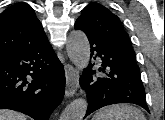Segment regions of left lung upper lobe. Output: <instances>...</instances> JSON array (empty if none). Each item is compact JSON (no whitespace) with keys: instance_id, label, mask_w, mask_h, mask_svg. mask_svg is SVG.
I'll return each instance as SVG.
<instances>
[{"instance_id":"5c2ea615","label":"left lung upper lobe","mask_w":165,"mask_h":120,"mask_svg":"<svg viewBox=\"0 0 165 120\" xmlns=\"http://www.w3.org/2000/svg\"><path fill=\"white\" fill-rule=\"evenodd\" d=\"M76 22L136 64L135 52L131 47L129 36L123 29L120 19L109 9L92 2L82 10V14Z\"/></svg>"}]
</instances>
